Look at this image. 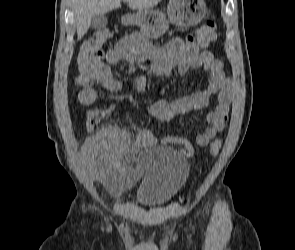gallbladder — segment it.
Returning a JSON list of instances; mask_svg holds the SVG:
<instances>
[{
	"label": "gallbladder",
	"mask_w": 295,
	"mask_h": 250,
	"mask_svg": "<svg viewBox=\"0 0 295 250\" xmlns=\"http://www.w3.org/2000/svg\"><path fill=\"white\" fill-rule=\"evenodd\" d=\"M107 18L105 15L94 16L91 20V28L95 30H103L107 26Z\"/></svg>",
	"instance_id": "obj_1"
}]
</instances>
